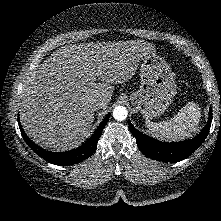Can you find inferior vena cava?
Returning a JSON list of instances; mask_svg holds the SVG:
<instances>
[{
	"instance_id": "1",
	"label": "inferior vena cava",
	"mask_w": 221,
	"mask_h": 221,
	"mask_svg": "<svg viewBox=\"0 0 221 221\" xmlns=\"http://www.w3.org/2000/svg\"><path fill=\"white\" fill-rule=\"evenodd\" d=\"M106 106V102L102 99H98L93 103L94 110L102 109Z\"/></svg>"
}]
</instances>
